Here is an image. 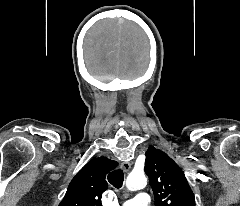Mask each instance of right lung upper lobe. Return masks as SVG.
Returning <instances> with one entry per match:
<instances>
[{
  "instance_id": "right-lung-upper-lobe-1",
  "label": "right lung upper lobe",
  "mask_w": 240,
  "mask_h": 206,
  "mask_svg": "<svg viewBox=\"0 0 240 206\" xmlns=\"http://www.w3.org/2000/svg\"><path fill=\"white\" fill-rule=\"evenodd\" d=\"M117 165L106 157L89 161L72 179L59 206H102L101 196L108 187L106 174Z\"/></svg>"
}]
</instances>
